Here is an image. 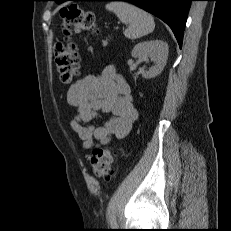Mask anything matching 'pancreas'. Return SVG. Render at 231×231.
Instances as JSON below:
<instances>
[{"label": "pancreas", "mask_w": 231, "mask_h": 231, "mask_svg": "<svg viewBox=\"0 0 231 231\" xmlns=\"http://www.w3.org/2000/svg\"><path fill=\"white\" fill-rule=\"evenodd\" d=\"M103 45L106 46L107 45V40L103 42Z\"/></svg>", "instance_id": "pancreas-1"}]
</instances>
